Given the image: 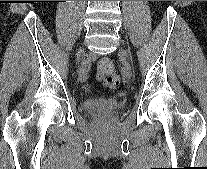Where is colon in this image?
<instances>
[{"instance_id": "1", "label": "colon", "mask_w": 207, "mask_h": 169, "mask_svg": "<svg viewBox=\"0 0 207 169\" xmlns=\"http://www.w3.org/2000/svg\"><path fill=\"white\" fill-rule=\"evenodd\" d=\"M97 77L104 86L110 90H121V79L113 62L108 58H102L97 64Z\"/></svg>"}]
</instances>
